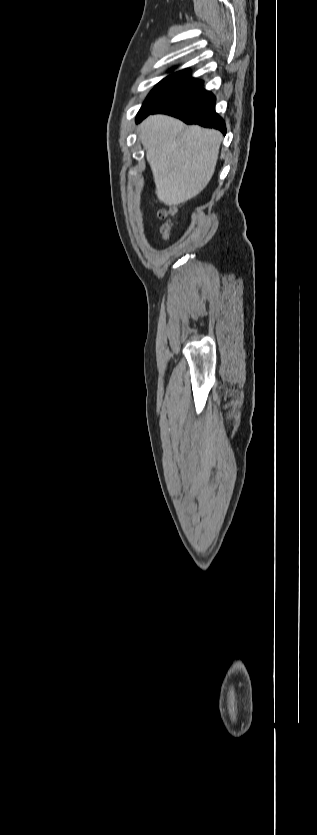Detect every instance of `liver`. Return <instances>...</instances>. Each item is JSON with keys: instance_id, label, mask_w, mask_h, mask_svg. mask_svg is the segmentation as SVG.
Wrapping results in <instances>:
<instances>
[{"instance_id": "liver-1", "label": "liver", "mask_w": 317, "mask_h": 835, "mask_svg": "<svg viewBox=\"0 0 317 835\" xmlns=\"http://www.w3.org/2000/svg\"><path fill=\"white\" fill-rule=\"evenodd\" d=\"M222 138L217 130L186 126L170 116L146 118L139 127V139L159 200L171 206L198 195L215 172Z\"/></svg>"}]
</instances>
